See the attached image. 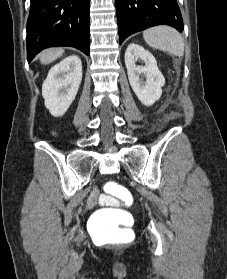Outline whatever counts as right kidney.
Listing matches in <instances>:
<instances>
[{
	"mask_svg": "<svg viewBox=\"0 0 227 279\" xmlns=\"http://www.w3.org/2000/svg\"><path fill=\"white\" fill-rule=\"evenodd\" d=\"M82 80V62L76 55H70L53 66L43 83L42 95L50 113L64 115L75 99Z\"/></svg>",
	"mask_w": 227,
	"mask_h": 279,
	"instance_id": "obj_1",
	"label": "right kidney"
}]
</instances>
